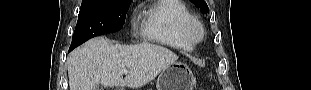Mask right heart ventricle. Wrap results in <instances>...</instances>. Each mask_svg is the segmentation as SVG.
<instances>
[{"instance_id":"right-heart-ventricle-1","label":"right heart ventricle","mask_w":311,"mask_h":90,"mask_svg":"<svg viewBox=\"0 0 311 90\" xmlns=\"http://www.w3.org/2000/svg\"><path fill=\"white\" fill-rule=\"evenodd\" d=\"M194 21L197 20L185 2L160 0L144 10L141 31L146 40L191 51L194 44L188 39L186 28Z\"/></svg>"}]
</instances>
